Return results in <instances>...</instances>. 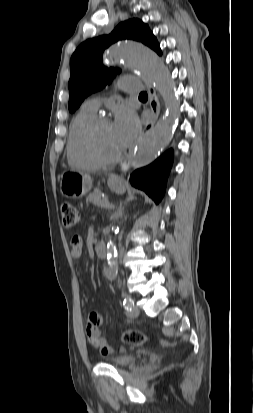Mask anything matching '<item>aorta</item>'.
Listing matches in <instances>:
<instances>
[{"instance_id": "1", "label": "aorta", "mask_w": 253, "mask_h": 413, "mask_svg": "<svg viewBox=\"0 0 253 413\" xmlns=\"http://www.w3.org/2000/svg\"><path fill=\"white\" fill-rule=\"evenodd\" d=\"M108 57L112 61H122L127 68L140 72L143 78L153 83L165 103V115L135 146L129 165L134 169L140 168L151 163L172 140L180 106L175 96V84L157 54L139 42L120 41L109 48ZM107 255L108 277L113 280L117 277L118 265L115 244L111 238L107 242Z\"/></svg>"}]
</instances>
